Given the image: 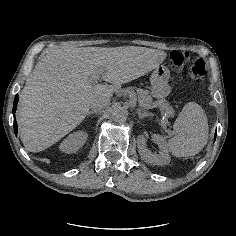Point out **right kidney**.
<instances>
[{"label":"right kidney","instance_id":"obj_1","mask_svg":"<svg viewBox=\"0 0 236 236\" xmlns=\"http://www.w3.org/2000/svg\"><path fill=\"white\" fill-rule=\"evenodd\" d=\"M87 137L88 134L84 131L71 133L61 142L59 149L64 153H75L85 144Z\"/></svg>","mask_w":236,"mask_h":236}]
</instances>
